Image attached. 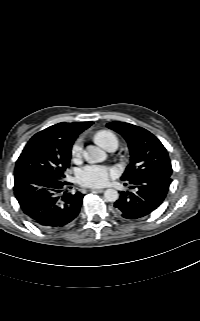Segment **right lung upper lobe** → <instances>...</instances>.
Returning <instances> with one entry per match:
<instances>
[{
	"mask_svg": "<svg viewBox=\"0 0 200 321\" xmlns=\"http://www.w3.org/2000/svg\"><path fill=\"white\" fill-rule=\"evenodd\" d=\"M93 122L58 123L44 129L48 137L59 144L72 146L77 136Z\"/></svg>",
	"mask_w": 200,
	"mask_h": 321,
	"instance_id": "cb5924a9",
	"label": "right lung upper lobe"
}]
</instances>
